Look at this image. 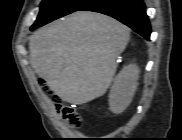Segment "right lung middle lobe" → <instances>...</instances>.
<instances>
[{
	"label": "right lung middle lobe",
	"instance_id": "obj_1",
	"mask_svg": "<svg viewBox=\"0 0 182 140\" xmlns=\"http://www.w3.org/2000/svg\"><path fill=\"white\" fill-rule=\"evenodd\" d=\"M91 0H43L37 20L31 29L43 26L57 18L79 10Z\"/></svg>",
	"mask_w": 182,
	"mask_h": 140
}]
</instances>
